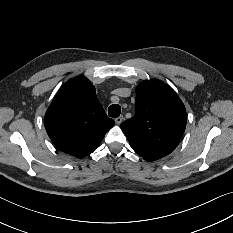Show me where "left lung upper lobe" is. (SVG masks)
<instances>
[{"mask_svg":"<svg viewBox=\"0 0 233 233\" xmlns=\"http://www.w3.org/2000/svg\"><path fill=\"white\" fill-rule=\"evenodd\" d=\"M184 104L159 80H145L136 88L135 115L121 124L132 149L144 159L170 154L186 127Z\"/></svg>","mask_w":233,"mask_h":233,"instance_id":"1","label":"left lung upper lobe"}]
</instances>
